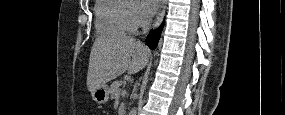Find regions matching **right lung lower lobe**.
<instances>
[{
    "instance_id": "obj_1",
    "label": "right lung lower lobe",
    "mask_w": 285,
    "mask_h": 115,
    "mask_svg": "<svg viewBox=\"0 0 285 115\" xmlns=\"http://www.w3.org/2000/svg\"><path fill=\"white\" fill-rule=\"evenodd\" d=\"M164 22L162 23V25L155 31V32H150V34L147 36L146 42L147 45L151 48V49H155L158 43V40L160 38V34L163 28Z\"/></svg>"
}]
</instances>
